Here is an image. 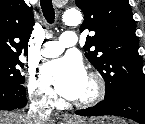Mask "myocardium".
I'll return each instance as SVG.
<instances>
[{
  "instance_id": "obj_1",
  "label": "myocardium",
  "mask_w": 145,
  "mask_h": 124,
  "mask_svg": "<svg viewBox=\"0 0 145 124\" xmlns=\"http://www.w3.org/2000/svg\"><path fill=\"white\" fill-rule=\"evenodd\" d=\"M87 77L94 82L95 92L88 99L72 102V105L76 108L84 109L92 107L100 103L106 95V83L100 73L92 71L88 73Z\"/></svg>"
}]
</instances>
